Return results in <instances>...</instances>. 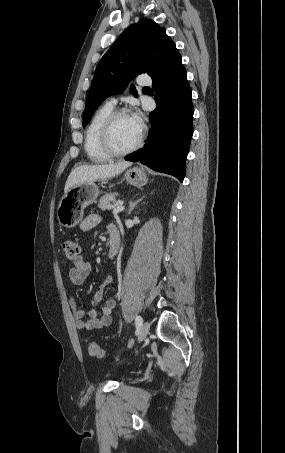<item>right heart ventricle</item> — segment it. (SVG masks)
I'll return each instance as SVG.
<instances>
[{"label": "right heart ventricle", "mask_w": 285, "mask_h": 453, "mask_svg": "<svg viewBox=\"0 0 285 453\" xmlns=\"http://www.w3.org/2000/svg\"><path fill=\"white\" fill-rule=\"evenodd\" d=\"M114 110V106L105 103L93 114L85 131L84 149L88 159L93 163H103L110 156L102 149L100 144V130L108 115Z\"/></svg>", "instance_id": "obj_1"}]
</instances>
